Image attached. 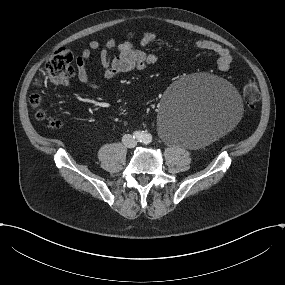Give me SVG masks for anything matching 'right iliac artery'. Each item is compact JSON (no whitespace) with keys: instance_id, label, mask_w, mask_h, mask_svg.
Returning <instances> with one entry per match:
<instances>
[{"instance_id":"82829eb1","label":"right iliac artery","mask_w":285,"mask_h":285,"mask_svg":"<svg viewBox=\"0 0 285 285\" xmlns=\"http://www.w3.org/2000/svg\"><path fill=\"white\" fill-rule=\"evenodd\" d=\"M143 136H144L143 133L140 132V131H135V132L133 133V138L136 139V140L139 141V142H142V141H143V138H144Z\"/></svg>"}]
</instances>
